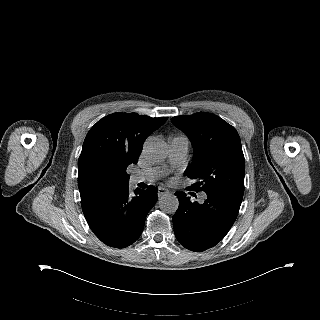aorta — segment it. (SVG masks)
<instances>
[{"label":"aorta","instance_id":"762f6f07","mask_svg":"<svg viewBox=\"0 0 320 320\" xmlns=\"http://www.w3.org/2000/svg\"><path fill=\"white\" fill-rule=\"evenodd\" d=\"M169 148L159 138L148 139L143 146L145 157L152 163H161L168 156ZM160 209L166 213H175L179 206L178 198L173 194H165L159 199Z\"/></svg>","mask_w":320,"mask_h":320}]
</instances>
